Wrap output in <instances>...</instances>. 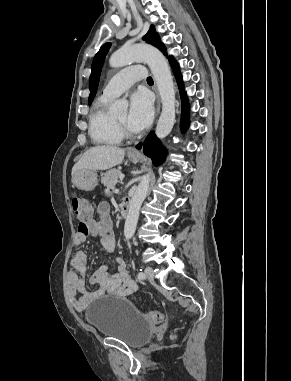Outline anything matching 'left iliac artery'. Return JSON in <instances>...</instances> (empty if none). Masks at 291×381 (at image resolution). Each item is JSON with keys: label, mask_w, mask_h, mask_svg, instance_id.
<instances>
[{"label": "left iliac artery", "mask_w": 291, "mask_h": 381, "mask_svg": "<svg viewBox=\"0 0 291 381\" xmlns=\"http://www.w3.org/2000/svg\"><path fill=\"white\" fill-rule=\"evenodd\" d=\"M137 277L139 280L145 279V274L142 272V270H140V272L137 274Z\"/></svg>", "instance_id": "left-iliac-artery-1"}]
</instances>
